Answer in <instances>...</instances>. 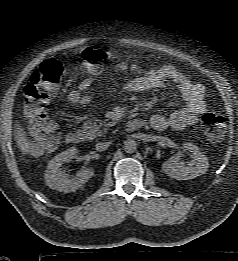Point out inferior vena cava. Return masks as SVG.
<instances>
[{
	"mask_svg": "<svg viewBox=\"0 0 238 261\" xmlns=\"http://www.w3.org/2000/svg\"><path fill=\"white\" fill-rule=\"evenodd\" d=\"M110 146V142H101L96 144V150L101 152L105 151Z\"/></svg>",
	"mask_w": 238,
	"mask_h": 261,
	"instance_id": "obj_1",
	"label": "inferior vena cava"
}]
</instances>
